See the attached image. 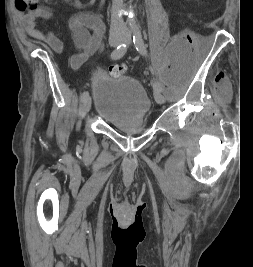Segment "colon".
I'll list each match as a JSON object with an SVG mask.
<instances>
[{"label": "colon", "mask_w": 253, "mask_h": 267, "mask_svg": "<svg viewBox=\"0 0 253 267\" xmlns=\"http://www.w3.org/2000/svg\"><path fill=\"white\" fill-rule=\"evenodd\" d=\"M38 0H16L15 5L18 10H32L37 7ZM127 67L125 64H115L110 67V73L113 76H122L126 73Z\"/></svg>", "instance_id": "obj_1"}]
</instances>
